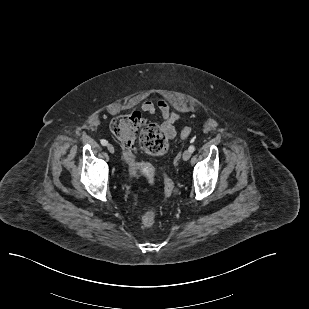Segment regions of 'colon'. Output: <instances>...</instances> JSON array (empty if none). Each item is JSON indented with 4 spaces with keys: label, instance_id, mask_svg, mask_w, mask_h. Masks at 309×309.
Wrapping results in <instances>:
<instances>
[{
    "label": "colon",
    "instance_id": "colon-1",
    "mask_svg": "<svg viewBox=\"0 0 309 309\" xmlns=\"http://www.w3.org/2000/svg\"><path fill=\"white\" fill-rule=\"evenodd\" d=\"M114 136L128 149L140 150L148 155H162L168 149V140L164 131L156 124L147 123L138 112L119 115L111 122ZM190 129H184L182 138L190 135ZM173 186L167 182L165 196L172 193ZM156 213L149 210L142 216V223L150 227L155 223Z\"/></svg>",
    "mask_w": 309,
    "mask_h": 309
}]
</instances>
